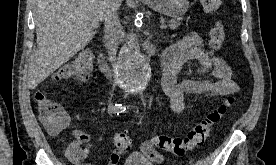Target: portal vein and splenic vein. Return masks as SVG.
I'll return each instance as SVG.
<instances>
[{
    "label": "portal vein and splenic vein",
    "instance_id": "1",
    "mask_svg": "<svg viewBox=\"0 0 276 165\" xmlns=\"http://www.w3.org/2000/svg\"><path fill=\"white\" fill-rule=\"evenodd\" d=\"M94 26H97V24H94ZM162 29H165L167 27L166 23L164 21L161 22V26Z\"/></svg>",
    "mask_w": 276,
    "mask_h": 165
}]
</instances>
